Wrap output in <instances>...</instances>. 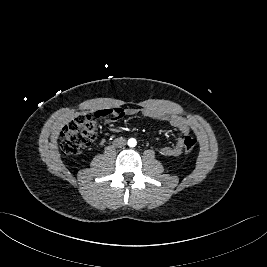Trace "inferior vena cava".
I'll list each match as a JSON object with an SVG mask.
<instances>
[{"mask_svg":"<svg viewBox=\"0 0 267 267\" xmlns=\"http://www.w3.org/2000/svg\"><path fill=\"white\" fill-rule=\"evenodd\" d=\"M125 144H126V140L122 137L115 139L113 142V145L119 148L123 147Z\"/></svg>","mask_w":267,"mask_h":267,"instance_id":"1","label":"inferior vena cava"}]
</instances>
